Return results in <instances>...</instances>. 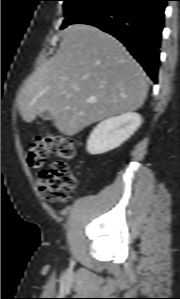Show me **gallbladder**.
<instances>
[{
    "label": "gallbladder",
    "mask_w": 180,
    "mask_h": 299,
    "mask_svg": "<svg viewBox=\"0 0 180 299\" xmlns=\"http://www.w3.org/2000/svg\"><path fill=\"white\" fill-rule=\"evenodd\" d=\"M40 117L43 120H52V115L49 111H44V112L40 113Z\"/></svg>",
    "instance_id": "gallbladder-1"
}]
</instances>
